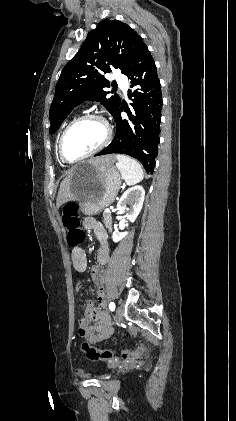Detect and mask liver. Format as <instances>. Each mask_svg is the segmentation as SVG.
<instances>
[{"mask_svg":"<svg viewBox=\"0 0 236 421\" xmlns=\"http://www.w3.org/2000/svg\"><path fill=\"white\" fill-rule=\"evenodd\" d=\"M117 154H104V156H94L91 158V162L94 164H98V166H111L113 162H115ZM72 176L73 170L68 172L67 176L63 178L60 182V188L58 190L57 198H56V206L59 208L63 202H67V200H73L74 192L72 190Z\"/></svg>","mask_w":236,"mask_h":421,"instance_id":"liver-1","label":"liver"}]
</instances>
